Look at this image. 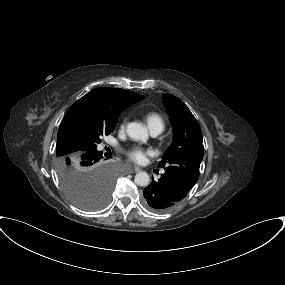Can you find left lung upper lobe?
Segmentation results:
<instances>
[{"label":"left lung upper lobe","mask_w":285,"mask_h":285,"mask_svg":"<svg viewBox=\"0 0 285 285\" xmlns=\"http://www.w3.org/2000/svg\"><path fill=\"white\" fill-rule=\"evenodd\" d=\"M163 102L173 127V142L166 150L158 167L180 175L195 184L204 148L199 123L179 98L163 94Z\"/></svg>","instance_id":"left-lung-upper-lobe-1"}]
</instances>
